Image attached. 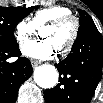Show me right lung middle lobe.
<instances>
[{"mask_svg": "<svg viewBox=\"0 0 103 103\" xmlns=\"http://www.w3.org/2000/svg\"><path fill=\"white\" fill-rule=\"evenodd\" d=\"M32 11L31 7H0V46L18 45L13 34L15 27Z\"/></svg>", "mask_w": 103, "mask_h": 103, "instance_id": "obj_1", "label": "right lung middle lobe"}]
</instances>
